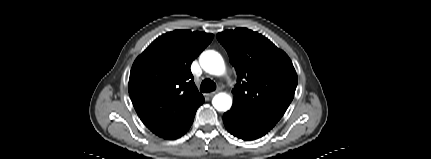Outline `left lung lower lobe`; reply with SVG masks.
Wrapping results in <instances>:
<instances>
[{
	"label": "left lung lower lobe",
	"instance_id": "left-lung-lower-lobe-1",
	"mask_svg": "<svg viewBox=\"0 0 431 159\" xmlns=\"http://www.w3.org/2000/svg\"><path fill=\"white\" fill-rule=\"evenodd\" d=\"M223 122L232 135L246 141L262 137L275 126L270 122L243 115L234 108L224 113Z\"/></svg>",
	"mask_w": 431,
	"mask_h": 159
}]
</instances>
